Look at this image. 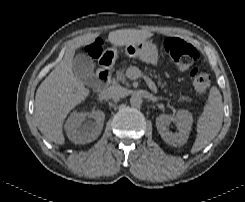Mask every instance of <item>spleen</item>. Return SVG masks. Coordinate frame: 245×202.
Instances as JSON below:
<instances>
[{
    "label": "spleen",
    "mask_w": 245,
    "mask_h": 202,
    "mask_svg": "<svg viewBox=\"0 0 245 202\" xmlns=\"http://www.w3.org/2000/svg\"><path fill=\"white\" fill-rule=\"evenodd\" d=\"M223 122L222 96L217 87L210 89L207 104L204 112L197 121V137L191 149L196 153L207 146L218 134Z\"/></svg>",
    "instance_id": "3e777b00"
}]
</instances>
